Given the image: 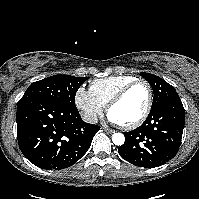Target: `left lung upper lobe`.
Listing matches in <instances>:
<instances>
[{"label": "left lung upper lobe", "mask_w": 199, "mask_h": 199, "mask_svg": "<svg viewBox=\"0 0 199 199\" xmlns=\"http://www.w3.org/2000/svg\"><path fill=\"white\" fill-rule=\"evenodd\" d=\"M141 75L149 82L153 89L154 98L151 108H155L169 100L179 99L175 88L162 78L145 72H142Z\"/></svg>", "instance_id": "left-lung-upper-lobe-1"}]
</instances>
